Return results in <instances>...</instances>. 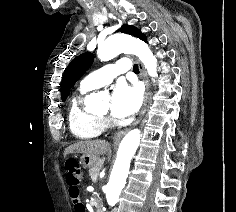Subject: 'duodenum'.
I'll use <instances>...</instances> for the list:
<instances>
[{"label": "duodenum", "instance_id": "410a0bca", "mask_svg": "<svg viewBox=\"0 0 236 212\" xmlns=\"http://www.w3.org/2000/svg\"><path fill=\"white\" fill-rule=\"evenodd\" d=\"M96 212H103V207L100 202H96Z\"/></svg>", "mask_w": 236, "mask_h": 212}]
</instances>
